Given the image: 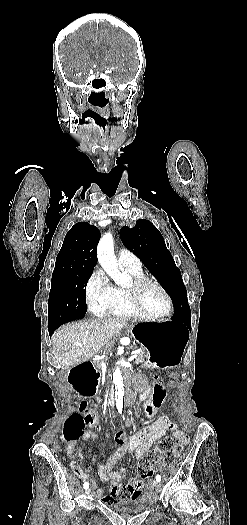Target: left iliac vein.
I'll list each match as a JSON object with an SVG mask.
<instances>
[{
  "label": "left iliac vein",
  "mask_w": 247,
  "mask_h": 525,
  "mask_svg": "<svg viewBox=\"0 0 247 525\" xmlns=\"http://www.w3.org/2000/svg\"><path fill=\"white\" fill-rule=\"evenodd\" d=\"M153 486L158 487L159 484H158L156 481H154V482H153Z\"/></svg>",
  "instance_id": "left-iliac-vein-1"
}]
</instances>
